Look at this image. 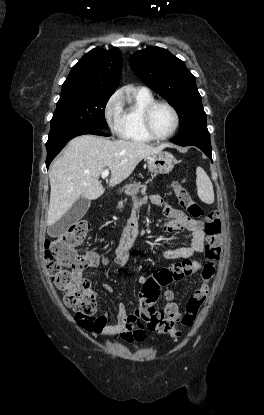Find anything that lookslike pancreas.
I'll use <instances>...</instances> for the list:
<instances>
[{"instance_id": "cf45deb5", "label": "pancreas", "mask_w": 264, "mask_h": 415, "mask_svg": "<svg viewBox=\"0 0 264 415\" xmlns=\"http://www.w3.org/2000/svg\"><path fill=\"white\" fill-rule=\"evenodd\" d=\"M141 193L142 194H145V188H142V190H141ZM127 200L125 199L124 201H120V202H118V209H123L124 208V203L126 202Z\"/></svg>"}]
</instances>
